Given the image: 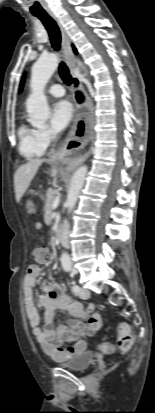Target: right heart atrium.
Returning <instances> with one entry per match:
<instances>
[{
    "label": "right heart atrium",
    "mask_w": 155,
    "mask_h": 413,
    "mask_svg": "<svg viewBox=\"0 0 155 413\" xmlns=\"http://www.w3.org/2000/svg\"><path fill=\"white\" fill-rule=\"evenodd\" d=\"M36 135L40 146L45 150L56 139V133L49 128H41L36 130Z\"/></svg>",
    "instance_id": "obj_1"
}]
</instances>
